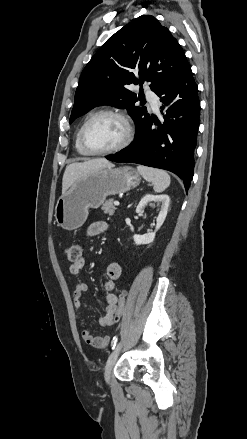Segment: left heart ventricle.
Masks as SVG:
<instances>
[{
    "instance_id": "b2bd125f",
    "label": "left heart ventricle",
    "mask_w": 247,
    "mask_h": 439,
    "mask_svg": "<svg viewBox=\"0 0 247 439\" xmlns=\"http://www.w3.org/2000/svg\"><path fill=\"white\" fill-rule=\"evenodd\" d=\"M125 133V126L119 118L104 115L95 118L88 125L85 139L92 150L102 151L119 145Z\"/></svg>"
}]
</instances>
